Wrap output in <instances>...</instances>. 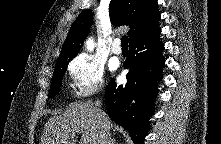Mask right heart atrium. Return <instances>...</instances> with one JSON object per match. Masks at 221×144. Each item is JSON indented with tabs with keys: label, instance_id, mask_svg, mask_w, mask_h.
<instances>
[{
	"label": "right heart atrium",
	"instance_id": "right-heart-atrium-1",
	"mask_svg": "<svg viewBox=\"0 0 221 144\" xmlns=\"http://www.w3.org/2000/svg\"><path fill=\"white\" fill-rule=\"evenodd\" d=\"M68 71L78 97H89L104 87V67L88 54L77 55L69 64Z\"/></svg>",
	"mask_w": 221,
	"mask_h": 144
}]
</instances>
